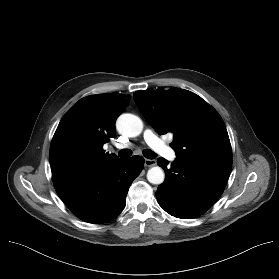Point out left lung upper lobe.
<instances>
[{
  "label": "left lung upper lobe",
  "mask_w": 279,
  "mask_h": 279,
  "mask_svg": "<svg viewBox=\"0 0 279 279\" xmlns=\"http://www.w3.org/2000/svg\"><path fill=\"white\" fill-rule=\"evenodd\" d=\"M134 100L147 122L159 134L173 133V149L180 159L232 165V150L218 112L195 93L136 91Z\"/></svg>",
  "instance_id": "5c2ea615"
}]
</instances>
